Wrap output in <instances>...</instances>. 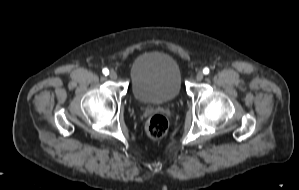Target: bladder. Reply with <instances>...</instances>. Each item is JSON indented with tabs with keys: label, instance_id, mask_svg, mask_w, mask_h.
Listing matches in <instances>:
<instances>
[{
	"label": "bladder",
	"instance_id": "1",
	"mask_svg": "<svg viewBox=\"0 0 299 190\" xmlns=\"http://www.w3.org/2000/svg\"><path fill=\"white\" fill-rule=\"evenodd\" d=\"M130 87L139 102H170L182 89L181 66L176 57L167 51L148 50L130 68Z\"/></svg>",
	"mask_w": 299,
	"mask_h": 190
}]
</instances>
